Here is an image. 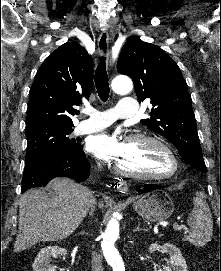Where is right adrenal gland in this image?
<instances>
[{
	"instance_id": "1",
	"label": "right adrenal gland",
	"mask_w": 221,
	"mask_h": 271,
	"mask_svg": "<svg viewBox=\"0 0 221 271\" xmlns=\"http://www.w3.org/2000/svg\"><path fill=\"white\" fill-rule=\"evenodd\" d=\"M82 233H86V231H82Z\"/></svg>"
}]
</instances>
